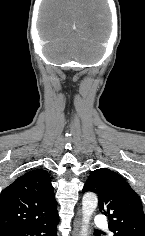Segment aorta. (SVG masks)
Returning a JSON list of instances; mask_svg holds the SVG:
<instances>
[{"label": "aorta", "mask_w": 145, "mask_h": 236, "mask_svg": "<svg viewBox=\"0 0 145 236\" xmlns=\"http://www.w3.org/2000/svg\"><path fill=\"white\" fill-rule=\"evenodd\" d=\"M98 198L94 193H86L82 199V226L80 236L89 235L91 217L97 207Z\"/></svg>", "instance_id": "1"}]
</instances>
